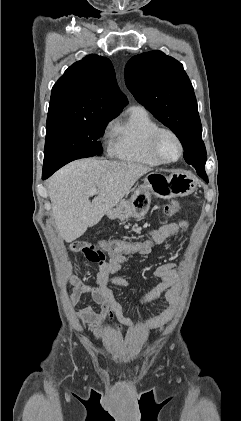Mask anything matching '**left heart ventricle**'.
Here are the masks:
<instances>
[{
  "mask_svg": "<svg viewBox=\"0 0 241 421\" xmlns=\"http://www.w3.org/2000/svg\"><path fill=\"white\" fill-rule=\"evenodd\" d=\"M160 151L164 158L171 160L178 156L179 146L171 135H164L160 140Z\"/></svg>",
  "mask_w": 241,
  "mask_h": 421,
  "instance_id": "obj_1",
  "label": "left heart ventricle"
}]
</instances>
